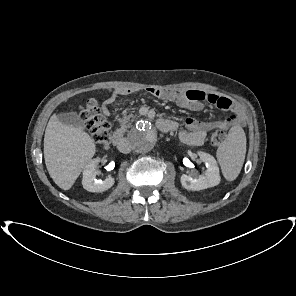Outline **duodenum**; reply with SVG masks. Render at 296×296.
I'll list each match as a JSON object with an SVG mask.
<instances>
[{"label": "duodenum", "mask_w": 296, "mask_h": 296, "mask_svg": "<svg viewBox=\"0 0 296 296\" xmlns=\"http://www.w3.org/2000/svg\"><path fill=\"white\" fill-rule=\"evenodd\" d=\"M157 126L162 131H171L176 128V124L170 120L159 119L157 121ZM113 144L117 146L122 152H126L128 150V145L124 141L123 133L121 130L117 129L113 133L112 137Z\"/></svg>", "instance_id": "410a0bca"}]
</instances>
